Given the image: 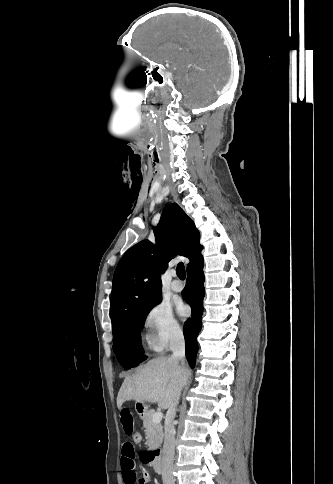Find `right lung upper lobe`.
Here are the masks:
<instances>
[{"label": "right lung upper lobe", "mask_w": 333, "mask_h": 484, "mask_svg": "<svg viewBox=\"0 0 333 484\" xmlns=\"http://www.w3.org/2000/svg\"><path fill=\"white\" fill-rule=\"evenodd\" d=\"M154 236L155 244L144 240L134 245L116 268L110 304L113 335L127 317L161 298L160 272L172 258L187 257V270L203 260L199 232L176 203L163 210Z\"/></svg>", "instance_id": "right-lung-upper-lobe-1"}]
</instances>
